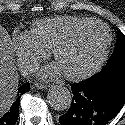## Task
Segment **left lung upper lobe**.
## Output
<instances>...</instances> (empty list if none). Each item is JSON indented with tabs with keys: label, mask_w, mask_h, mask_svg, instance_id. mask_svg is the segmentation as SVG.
I'll list each match as a JSON object with an SVG mask.
<instances>
[{
	"label": "left lung upper lobe",
	"mask_w": 125,
	"mask_h": 125,
	"mask_svg": "<svg viewBox=\"0 0 125 125\" xmlns=\"http://www.w3.org/2000/svg\"><path fill=\"white\" fill-rule=\"evenodd\" d=\"M125 66V36L122 33L117 34L116 47L104 68L92 77H98L110 70Z\"/></svg>",
	"instance_id": "obj_1"
}]
</instances>
